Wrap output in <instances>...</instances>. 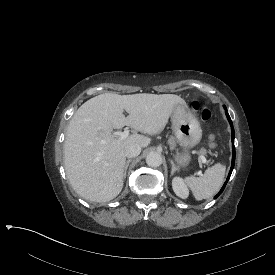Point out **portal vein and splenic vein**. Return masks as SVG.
<instances>
[{
    "label": "portal vein and splenic vein",
    "mask_w": 275,
    "mask_h": 275,
    "mask_svg": "<svg viewBox=\"0 0 275 275\" xmlns=\"http://www.w3.org/2000/svg\"><path fill=\"white\" fill-rule=\"evenodd\" d=\"M117 134L119 135L118 141H123L130 136V131L125 130L123 132H117ZM199 158L202 160V164H206V159L204 156L199 155Z\"/></svg>",
    "instance_id": "18ae733b"
}]
</instances>
